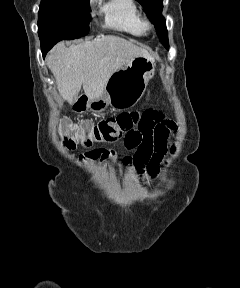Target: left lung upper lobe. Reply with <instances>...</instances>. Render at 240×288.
I'll use <instances>...</instances> for the list:
<instances>
[{"mask_svg": "<svg viewBox=\"0 0 240 288\" xmlns=\"http://www.w3.org/2000/svg\"><path fill=\"white\" fill-rule=\"evenodd\" d=\"M146 10L147 17L157 29V35L165 48L169 49L166 21L162 16L163 0H137Z\"/></svg>", "mask_w": 240, "mask_h": 288, "instance_id": "obj_1", "label": "left lung upper lobe"}]
</instances>
